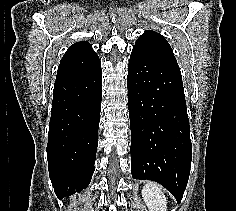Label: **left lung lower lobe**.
Returning <instances> with one entry per match:
<instances>
[{"label": "left lung lower lobe", "instance_id": "obj_1", "mask_svg": "<svg viewBox=\"0 0 236 211\" xmlns=\"http://www.w3.org/2000/svg\"><path fill=\"white\" fill-rule=\"evenodd\" d=\"M127 87L132 176L160 183L180 203L192 145L178 64L133 49Z\"/></svg>", "mask_w": 236, "mask_h": 211}]
</instances>
